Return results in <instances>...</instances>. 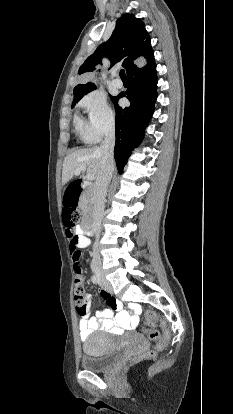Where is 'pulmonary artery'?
<instances>
[{
    "instance_id": "obj_1",
    "label": "pulmonary artery",
    "mask_w": 233,
    "mask_h": 414,
    "mask_svg": "<svg viewBox=\"0 0 233 414\" xmlns=\"http://www.w3.org/2000/svg\"><path fill=\"white\" fill-rule=\"evenodd\" d=\"M112 84L117 87L121 88L123 86L122 81L118 78V74L114 73V79L112 80Z\"/></svg>"
}]
</instances>
